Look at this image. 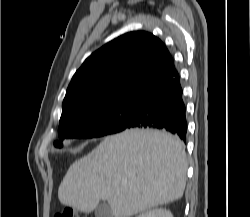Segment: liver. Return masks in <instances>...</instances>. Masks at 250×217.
Listing matches in <instances>:
<instances>
[{
	"mask_svg": "<svg viewBox=\"0 0 250 217\" xmlns=\"http://www.w3.org/2000/svg\"><path fill=\"white\" fill-rule=\"evenodd\" d=\"M187 167L179 138L152 129L125 130L69 167L58 198L85 213L106 200L114 217H130L180 199Z\"/></svg>",
	"mask_w": 250,
	"mask_h": 217,
	"instance_id": "1",
	"label": "liver"
}]
</instances>
